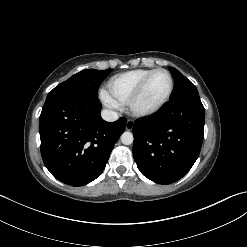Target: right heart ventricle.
Masks as SVG:
<instances>
[{
    "label": "right heart ventricle",
    "instance_id": "1",
    "mask_svg": "<svg viewBox=\"0 0 247 247\" xmlns=\"http://www.w3.org/2000/svg\"><path fill=\"white\" fill-rule=\"evenodd\" d=\"M151 71L153 70L136 69L117 74L107 82V90L116 101L127 104L138 85Z\"/></svg>",
    "mask_w": 247,
    "mask_h": 247
}]
</instances>
